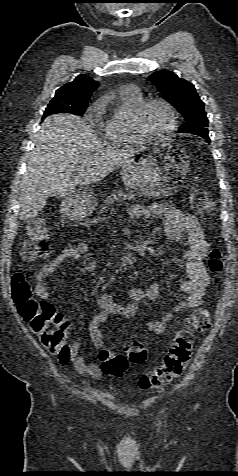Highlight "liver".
Segmentation results:
<instances>
[{
  "instance_id": "obj_1",
  "label": "liver",
  "mask_w": 238,
  "mask_h": 476,
  "mask_svg": "<svg viewBox=\"0 0 238 476\" xmlns=\"http://www.w3.org/2000/svg\"><path fill=\"white\" fill-rule=\"evenodd\" d=\"M142 151L143 148L120 149L101 142L79 116H48L36 135L21 181L20 219L36 217L49 195L70 196L76 186L87 187L101 181Z\"/></svg>"
}]
</instances>
